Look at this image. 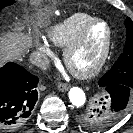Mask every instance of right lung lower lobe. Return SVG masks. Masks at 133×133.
I'll return each instance as SVG.
<instances>
[{"instance_id": "obj_1", "label": "right lung lower lobe", "mask_w": 133, "mask_h": 133, "mask_svg": "<svg viewBox=\"0 0 133 133\" xmlns=\"http://www.w3.org/2000/svg\"><path fill=\"white\" fill-rule=\"evenodd\" d=\"M39 78L15 63L0 68V130H13L30 116Z\"/></svg>"}]
</instances>
